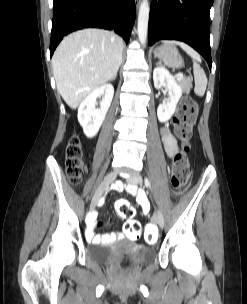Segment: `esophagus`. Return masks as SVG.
<instances>
[{
    "instance_id": "esophagus-1",
    "label": "esophagus",
    "mask_w": 247,
    "mask_h": 304,
    "mask_svg": "<svg viewBox=\"0 0 247 304\" xmlns=\"http://www.w3.org/2000/svg\"><path fill=\"white\" fill-rule=\"evenodd\" d=\"M135 1H136L137 6H139L141 3V0H135Z\"/></svg>"
}]
</instances>
